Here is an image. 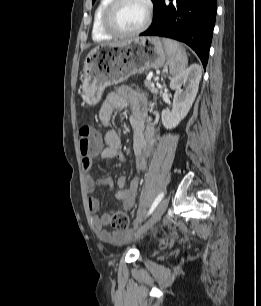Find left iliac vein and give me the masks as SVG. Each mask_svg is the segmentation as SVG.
<instances>
[{"mask_svg":"<svg viewBox=\"0 0 261 306\" xmlns=\"http://www.w3.org/2000/svg\"><path fill=\"white\" fill-rule=\"evenodd\" d=\"M169 204V199H163L156 207L150 218L139 227L134 233V238H139L142 236L148 229L152 228L153 225L161 218V216L165 213Z\"/></svg>","mask_w":261,"mask_h":306,"instance_id":"obj_1","label":"left iliac vein"}]
</instances>
